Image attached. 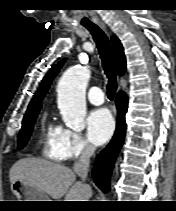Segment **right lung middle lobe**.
Returning a JSON list of instances; mask_svg holds the SVG:
<instances>
[{"mask_svg": "<svg viewBox=\"0 0 176 211\" xmlns=\"http://www.w3.org/2000/svg\"><path fill=\"white\" fill-rule=\"evenodd\" d=\"M38 113L30 114L25 116L22 123V129L18 135L19 149L23 148L28 142L32 133L33 125L35 123Z\"/></svg>", "mask_w": 176, "mask_h": 211, "instance_id": "obj_1", "label": "right lung middle lobe"}]
</instances>
